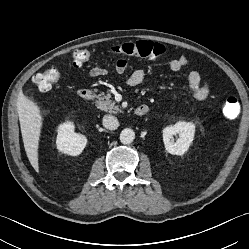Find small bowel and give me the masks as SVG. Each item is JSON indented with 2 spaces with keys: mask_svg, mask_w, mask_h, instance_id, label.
<instances>
[{
  "mask_svg": "<svg viewBox=\"0 0 249 249\" xmlns=\"http://www.w3.org/2000/svg\"><path fill=\"white\" fill-rule=\"evenodd\" d=\"M187 64V59L184 56H179L172 59L168 63V67L173 72L180 71ZM127 61L120 59L116 63V71L123 74L127 68ZM107 74V70L102 66H95L89 71V75L93 78H98ZM144 72L141 69L135 70L128 79V84L131 86L138 85L142 82ZM188 87L196 100H204L209 95V85L204 81L198 71H190L188 74Z\"/></svg>",
  "mask_w": 249,
  "mask_h": 249,
  "instance_id": "c3829d8e",
  "label": "small bowel"
}]
</instances>
